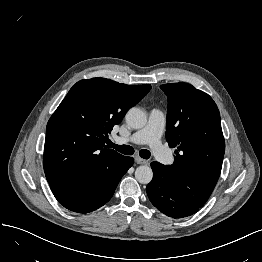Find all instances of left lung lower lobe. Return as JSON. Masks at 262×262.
Instances as JSON below:
<instances>
[{
  "label": "left lung lower lobe",
  "instance_id": "1",
  "mask_svg": "<svg viewBox=\"0 0 262 262\" xmlns=\"http://www.w3.org/2000/svg\"><path fill=\"white\" fill-rule=\"evenodd\" d=\"M151 167L154 177L146 191L149 200L159 211L172 218H184L200 209L168 181L165 165L152 162Z\"/></svg>",
  "mask_w": 262,
  "mask_h": 262
}]
</instances>
